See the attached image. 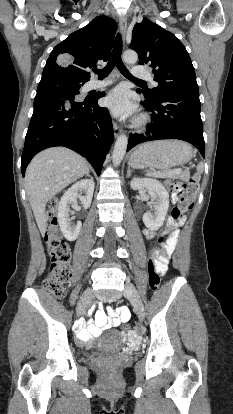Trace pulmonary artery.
<instances>
[{
  "mask_svg": "<svg viewBox=\"0 0 233 414\" xmlns=\"http://www.w3.org/2000/svg\"><path fill=\"white\" fill-rule=\"evenodd\" d=\"M132 73H133V76L136 77V78L152 80V76H151L150 72H148L147 70L142 69L140 67H135L133 69ZM112 82L113 81L111 79H106V80H102V81L94 80L90 83L89 86H90L91 89H95V88H100V87L109 85ZM152 82H153V84H156L155 81L152 80Z\"/></svg>",
  "mask_w": 233,
  "mask_h": 414,
  "instance_id": "e3ab8cb5",
  "label": "pulmonary artery"
}]
</instances>
